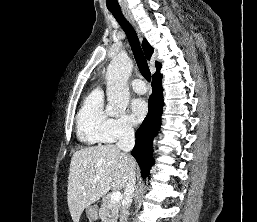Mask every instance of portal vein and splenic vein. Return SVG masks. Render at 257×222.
I'll return each mask as SVG.
<instances>
[{"label":"portal vein and splenic vein","instance_id":"18ae733b","mask_svg":"<svg viewBox=\"0 0 257 222\" xmlns=\"http://www.w3.org/2000/svg\"><path fill=\"white\" fill-rule=\"evenodd\" d=\"M122 199V194L121 192H113L112 195L110 196V202L111 203H117Z\"/></svg>","mask_w":257,"mask_h":222}]
</instances>
